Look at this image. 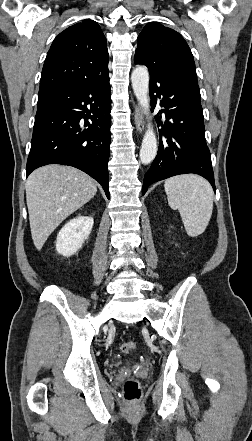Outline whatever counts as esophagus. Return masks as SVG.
I'll use <instances>...</instances> for the list:
<instances>
[{"label":"esophagus","instance_id":"obj_1","mask_svg":"<svg viewBox=\"0 0 252 441\" xmlns=\"http://www.w3.org/2000/svg\"><path fill=\"white\" fill-rule=\"evenodd\" d=\"M134 123H135V126H136L138 133L141 134L144 129V122H143L142 111H141V108L139 105L135 106Z\"/></svg>","mask_w":252,"mask_h":441}]
</instances>
